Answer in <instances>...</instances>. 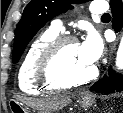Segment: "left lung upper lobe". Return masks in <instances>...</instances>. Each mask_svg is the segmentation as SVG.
<instances>
[{
  "label": "left lung upper lobe",
  "mask_w": 123,
  "mask_h": 113,
  "mask_svg": "<svg viewBox=\"0 0 123 113\" xmlns=\"http://www.w3.org/2000/svg\"><path fill=\"white\" fill-rule=\"evenodd\" d=\"M80 1L81 0H31L24 9L22 18L17 26L12 57L13 63L19 61L27 44L47 21L71 9V4Z\"/></svg>",
  "instance_id": "left-lung-upper-lobe-1"
}]
</instances>
